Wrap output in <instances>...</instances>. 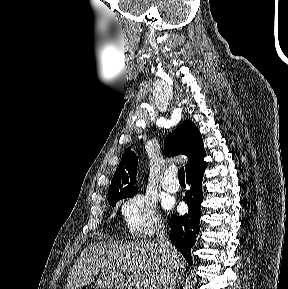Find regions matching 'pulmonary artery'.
<instances>
[{"mask_svg": "<svg viewBox=\"0 0 288 289\" xmlns=\"http://www.w3.org/2000/svg\"><path fill=\"white\" fill-rule=\"evenodd\" d=\"M161 184L163 189L170 193H174L179 189L178 179L175 177V173L171 169L164 173Z\"/></svg>", "mask_w": 288, "mask_h": 289, "instance_id": "pulmonary-artery-1", "label": "pulmonary artery"}]
</instances>
